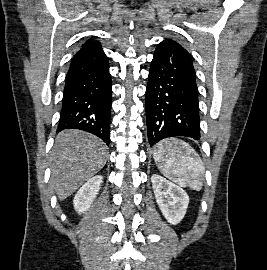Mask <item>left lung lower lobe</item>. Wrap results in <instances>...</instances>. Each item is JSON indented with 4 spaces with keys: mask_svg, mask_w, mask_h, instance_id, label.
I'll return each mask as SVG.
<instances>
[{
    "mask_svg": "<svg viewBox=\"0 0 267 270\" xmlns=\"http://www.w3.org/2000/svg\"><path fill=\"white\" fill-rule=\"evenodd\" d=\"M146 121L150 146L168 137L200 139L196 74L190 54L166 39L155 49L146 89Z\"/></svg>",
    "mask_w": 267,
    "mask_h": 270,
    "instance_id": "0a47b994",
    "label": "left lung lower lobe"
}]
</instances>
